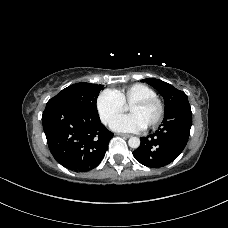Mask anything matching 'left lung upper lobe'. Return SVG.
<instances>
[{"label": "left lung upper lobe", "instance_id": "5c2ea615", "mask_svg": "<svg viewBox=\"0 0 228 228\" xmlns=\"http://www.w3.org/2000/svg\"><path fill=\"white\" fill-rule=\"evenodd\" d=\"M142 81L153 86L163 96L165 101V115L173 114L174 118L180 117L181 105L189 103L187 95L183 91H180L174 88L172 85L159 79L148 78Z\"/></svg>", "mask_w": 228, "mask_h": 228}]
</instances>
